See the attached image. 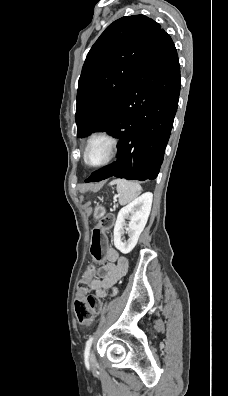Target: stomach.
Returning <instances> with one entry per match:
<instances>
[{
    "instance_id": "0dacf381",
    "label": "stomach",
    "mask_w": 228,
    "mask_h": 396,
    "mask_svg": "<svg viewBox=\"0 0 228 396\" xmlns=\"http://www.w3.org/2000/svg\"><path fill=\"white\" fill-rule=\"evenodd\" d=\"M105 214V208L102 206H97L94 212L95 218H100Z\"/></svg>"
}]
</instances>
